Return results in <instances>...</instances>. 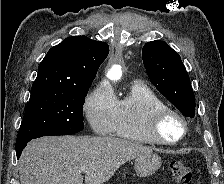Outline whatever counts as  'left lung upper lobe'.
Segmentation results:
<instances>
[{
    "mask_svg": "<svg viewBox=\"0 0 224 184\" xmlns=\"http://www.w3.org/2000/svg\"><path fill=\"white\" fill-rule=\"evenodd\" d=\"M153 85L186 117H194L195 96L181 57L166 42H147L142 49Z\"/></svg>",
    "mask_w": 224,
    "mask_h": 184,
    "instance_id": "left-lung-upper-lobe-1",
    "label": "left lung upper lobe"
}]
</instances>
